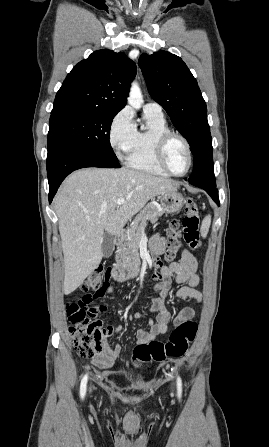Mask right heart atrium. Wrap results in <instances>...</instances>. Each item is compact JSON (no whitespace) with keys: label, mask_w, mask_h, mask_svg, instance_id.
<instances>
[{"label":"right heart atrium","mask_w":269,"mask_h":447,"mask_svg":"<svg viewBox=\"0 0 269 447\" xmlns=\"http://www.w3.org/2000/svg\"><path fill=\"white\" fill-rule=\"evenodd\" d=\"M135 130L133 115L128 107L119 110L112 118L108 130V140L119 159H124L129 153Z\"/></svg>","instance_id":"d8ad5b80"}]
</instances>
